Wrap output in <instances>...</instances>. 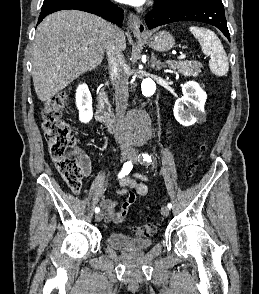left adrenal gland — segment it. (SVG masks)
Returning a JSON list of instances; mask_svg holds the SVG:
<instances>
[{
	"label": "left adrenal gland",
	"instance_id": "1",
	"mask_svg": "<svg viewBox=\"0 0 259 294\" xmlns=\"http://www.w3.org/2000/svg\"><path fill=\"white\" fill-rule=\"evenodd\" d=\"M165 67H166V64L164 62H161L160 60H157L155 55L152 54V68H155L156 71H159Z\"/></svg>",
	"mask_w": 259,
	"mask_h": 294
}]
</instances>
